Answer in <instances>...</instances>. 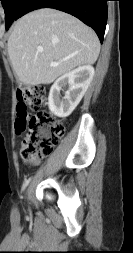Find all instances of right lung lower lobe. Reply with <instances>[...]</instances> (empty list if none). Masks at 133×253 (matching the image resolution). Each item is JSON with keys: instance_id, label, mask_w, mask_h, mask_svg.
<instances>
[{"instance_id": "obj_1", "label": "right lung lower lobe", "mask_w": 133, "mask_h": 253, "mask_svg": "<svg viewBox=\"0 0 133 253\" xmlns=\"http://www.w3.org/2000/svg\"><path fill=\"white\" fill-rule=\"evenodd\" d=\"M108 0H24L16 19L39 8H54L69 13L93 28L101 43L107 22Z\"/></svg>"}]
</instances>
